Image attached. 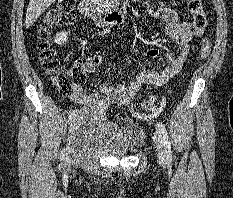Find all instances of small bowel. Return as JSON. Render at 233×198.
I'll return each instance as SVG.
<instances>
[{"label": "small bowel", "mask_w": 233, "mask_h": 198, "mask_svg": "<svg viewBox=\"0 0 233 198\" xmlns=\"http://www.w3.org/2000/svg\"><path fill=\"white\" fill-rule=\"evenodd\" d=\"M162 19L166 24L165 34L172 39L178 48V54L167 53L165 55L166 66L160 70L138 71L134 79L127 82H120L113 87L108 83L100 85V95L87 94L81 87H77L70 99L88 108L104 112L110 105L129 108L132 106L134 97L144 86H162L176 75L187 60L189 53V42L198 34L193 24L182 21L178 14L167 8L162 14ZM158 50L151 48L147 51L149 58H155ZM105 63V58L101 55H92L81 64L85 74L93 73L97 67Z\"/></svg>", "instance_id": "obj_1"}]
</instances>
